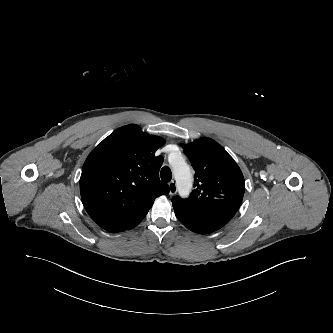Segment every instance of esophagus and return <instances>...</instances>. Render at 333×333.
I'll list each match as a JSON object with an SVG mask.
<instances>
[{
    "label": "esophagus",
    "mask_w": 333,
    "mask_h": 333,
    "mask_svg": "<svg viewBox=\"0 0 333 333\" xmlns=\"http://www.w3.org/2000/svg\"><path fill=\"white\" fill-rule=\"evenodd\" d=\"M177 192V186H176V182L174 180H172L169 183V195H174Z\"/></svg>",
    "instance_id": "1"
}]
</instances>
